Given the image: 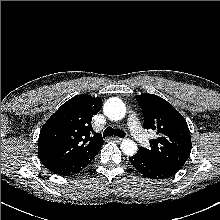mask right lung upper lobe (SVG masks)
Here are the masks:
<instances>
[{
    "mask_svg": "<svg viewBox=\"0 0 220 220\" xmlns=\"http://www.w3.org/2000/svg\"><path fill=\"white\" fill-rule=\"evenodd\" d=\"M101 107L99 98L77 95L47 120L38 139V156L47 169L53 171L102 146V135L95 133L91 125Z\"/></svg>",
    "mask_w": 220,
    "mask_h": 220,
    "instance_id": "1",
    "label": "right lung upper lobe"
}]
</instances>
